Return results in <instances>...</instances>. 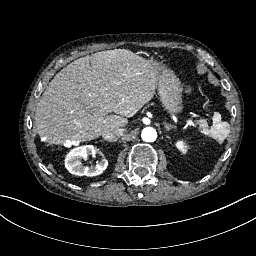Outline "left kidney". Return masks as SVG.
<instances>
[{
  "instance_id": "5707ae66",
  "label": "left kidney",
  "mask_w": 256,
  "mask_h": 256,
  "mask_svg": "<svg viewBox=\"0 0 256 256\" xmlns=\"http://www.w3.org/2000/svg\"><path fill=\"white\" fill-rule=\"evenodd\" d=\"M177 147L183 152H186V146L183 143H177Z\"/></svg>"
}]
</instances>
